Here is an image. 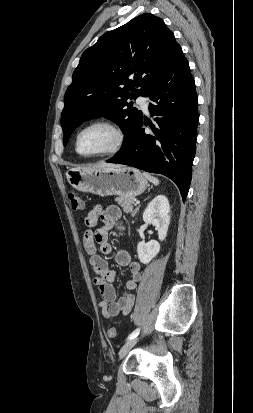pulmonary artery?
Instances as JSON below:
<instances>
[{
    "label": "pulmonary artery",
    "mask_w": 253,
    "mask_h": 413,
    "mask_svg": "<svg viewBox=\"0 0 253 413\" xmlns=\"http://www.w3.org/2000/svg\"><path fill=\"white\" fill-rule=\"evenodd\" d=\"M137 103L140 105L143 111L148 112L149 100L147 97L141 95L138 96Z\"/></svg>",
    "instance_id": "e3ab8cb5"
}]
</instances>
